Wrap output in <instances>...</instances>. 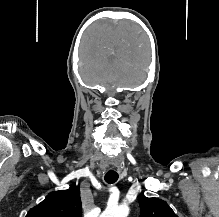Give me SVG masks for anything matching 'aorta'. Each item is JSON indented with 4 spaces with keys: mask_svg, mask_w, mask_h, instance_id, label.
<instances>
[{
    "mask_svg": "<svg viewBox=\"0 0 219 217\" xmlns=\"http://www.w3.org/2000/svg\"><path fill=\"white\" fill-rule=\"evenodd\" d=\"M129 208L126 205L108 207L100 217H127Z\"/></svg>",
    "mask_w": 219,
    "mask_h": 217,
    "instance_id": "obj_1",
    "label": "aorta"
}]
</instances>
